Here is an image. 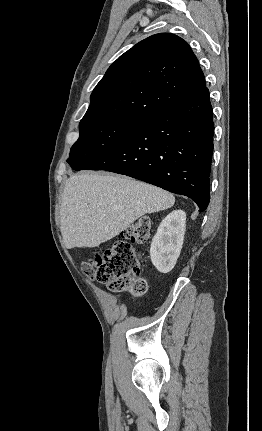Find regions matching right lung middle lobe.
I'll use <instances>...</instances> for the list:
<instances>
[{
	"label": "right lung middle lobe",
	"instance_id": "1",
	"mask_svg": "<svg viewBox=\"0 0 262 431\" xmlns=\"http://www.w3.org/2000/svg\"><path fill=\"white\" fill-rule=\"evenodd\" d=\"M140 121H106L80 124V136L70 150L67 162L82 170L102 157L123 139Z\"/></svg>",
	"mask_w": 262,
	"mask_h": 431
}]
</instances>
